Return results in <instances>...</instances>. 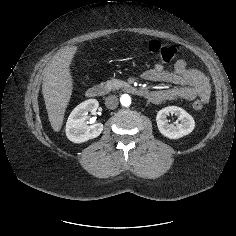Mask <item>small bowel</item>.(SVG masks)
<instances>
[{"label": "small bowel", "instance_id": "small-bowel-1", "mask_svg": "<svg viewBox=\"0 0 236 236\" xmlns=\"http://www.w3.org/2000/svg\"><path fill=\"white\" fill-rule=\"evenodd\" d=\"M142 77L150 82H168L178 87L150 91L149 99L154 103H162L176 99L192 101L201 100L204 104L210 99L211 87L209 79L201 71L189 68L185 59H179L173 70L157 63L143 72Z\"/></svg>", "mask_w": 236, "mask_h": 236}]
</instances>
